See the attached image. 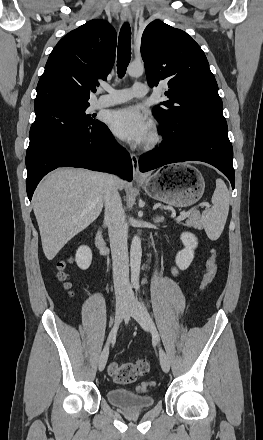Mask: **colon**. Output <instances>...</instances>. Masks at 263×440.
Masks as SVG:
<instances>
[{"mask_svg": "<svg viewBox=\"0 0 263 440\" xmlns=\"http://www.w3.org/2000/svg\"><path fill=\"white\" fill-rule=\"evenodd\" d=\"M64 264H60L63 268ZM218 269V259L216 250H212L211 256L206 262V273L202 284V289H207L214 281ZM58 279L62 282L66 280V274L59 272ZM149 370V364L145 359H139L134 362L127 363H111L108 368L110 377L119 384H129L139 377L145 375ZM152 386L151 383H143L140 386L142 391L148 390Z\"/></svg>", "mask_w": 263, "mask_h": 440, "instance_id": "obj_1", "label": "colon"}]
</instances>
